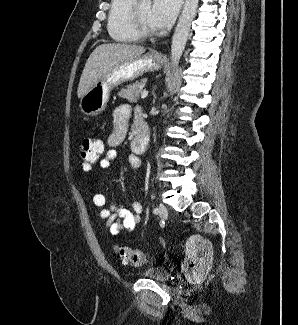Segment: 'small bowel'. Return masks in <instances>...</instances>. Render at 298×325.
<instances>
[{"label": "small bowel", "instance_id": "c3829d8e", "mask_svg": "<svg viewBox=\"0 0 298 325\" xmlns=\"http://www.w3.org/2000/svg\"><path fill=\"white\" fill-rule=\"evenodd\" d=\"M129 109L126 106L118 107L114 112L113 130L106 140L107 151L99 161L102 169H107L117 158V147L123 142L128 131ZM129 163L133 168H139L141 160L136 155L129 157ZM93 204L100 208L99 215L102 219L107 220V231L116 236L120 231H132L140 222L143 206L139 201L132 203V209H128L125 205L112 204L106 206V198L101 193H95L93 196Z\"/></svg>", "mask_w": 298, "mask_h": 325}]
</instances>
